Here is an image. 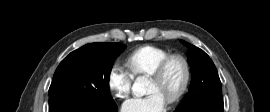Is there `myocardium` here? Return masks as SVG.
I'll use <instances>...</instances> for the list:
<instances>
[{"mask_svg": "<svg viewBox=\"0 0 270 112\" xmlns=\"http://www.w3.org/2000/svg\"><path fill=\"white\" fill-rule=\"evenodd\" d=\"M174 62H179L182 65L183 79L179 88L176 90V92L167 99V102L169 104H175L179 102L188 90L191 77H192V71H191V65L189 61L187 60V58L180 54H171L168 57H166L157 66V68L149 75L151 79H154L158 82H162L166 77L169 67Z\"/></svg>", "mask_w": 270, "mask_h": 112, "instance_id": "obj_1", "label": "myocardium"}]
</instances>
